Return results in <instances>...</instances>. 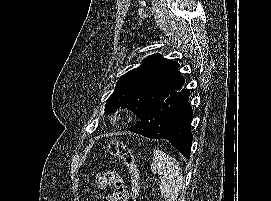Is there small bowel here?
<instances>
[{"mask_svg": "<svg viewBox=\"0 0 271 201\" xmlns=\"http://www.w3.org/2000/svg\"><path fill=\"white\" fill-rule=\"evenodd\" d=\"M96 184L107 193L103 201H130L126 186L118 171L108 170L99 173Z\"/></svg>", "mask_w": 271, "mask_h": 201, "instance_id": "small-bowel-1", "label": "small bowel"}]
</instances>
